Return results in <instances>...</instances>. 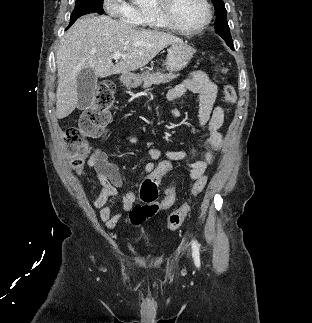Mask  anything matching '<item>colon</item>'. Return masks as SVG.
<instances>
[{"mask_svg":"<svg viewBox=\"0 0 312 323\" xmlns=\"http://www.w3.org/2000/svg\"><path fill=\"white\" fill-rule=\"evenodd\" d=\"M224 71V68H221ZM224 99L228 104H233L236 100V90L233 85L226 83L222 87ZM115 106L114 83L109 78H104L100 81L97 90L94 94L93 102L86 107L79 117L78 125L70 127L65 132V140L68 147L73 151L72 161H67V168H74L79 172L82 169L84 159L92 155L87 138L103 137L105 128L111 120V112ZM171 160H161L157 168L152 172L151 177L140 178V196L147 203L140 209V216L144 219L153 217L159 210L157 202L158 189L157 185L160 182L161 175L172 171ZM204 181L198 180L193 184L192 190L186 195V199L179 210H172L171 217L167 224L169 232L176 231L182 224L184 217L189 215V205L192 202L193 196L198 194V191H204ZM174 190L169 188L166 197H161L162 211L167 213L173 208Z\"/></svg>","mask_w":312,"mask_h":323,"instance_id":"5ec220e1","label":"colon"}]
</instances>
